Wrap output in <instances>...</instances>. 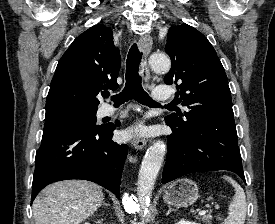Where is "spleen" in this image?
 <instances>
[{"label": "spleen", "instance_id": "3e777b00", "mask_svg": "<svg viewBox=\"0 0 275 224\" xmlns=\"http://www.w3.org/2000/svg\"><path fill=\"white\" fill-rule=\"evenodd\" d=\"M224 178L231 183L235 189V195L229 205L228 217L224 224H244L247 211V203L244 190L231 177L224 176Z\"/></svg>", "mask_w": 275, "mask_h": 224}]
</instances>
